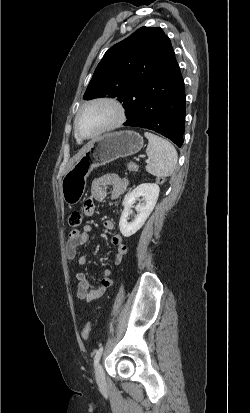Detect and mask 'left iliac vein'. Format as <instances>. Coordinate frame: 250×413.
<instances>
[{"instance_id": "1", "label": "left iliac vein", "mask_w": 250, "mask_h": 413, "mask_svg": "<svg viewBox=\"0 0 250 413\" xmlns=\"http://www.w3.org/2000/svg\"><path fill=\"white\" fill-rule=\"evenodd\" d=\"M95 377L98 385H104L105 375L101 364H97L95 368Z\"/></svg>"}]
</instances>
